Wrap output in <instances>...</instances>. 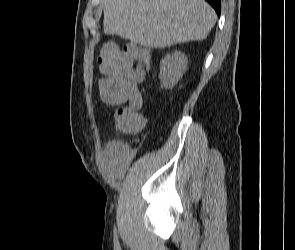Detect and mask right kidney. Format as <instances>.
Returning <instances> with one entry per match:
<instances>
[{
    "label": "right kidney",
    "instance_id": "obj_1",
    "mask_svg": "<svg viewBox=\"0 0 295 250\" xmlns=\"http://www.w3.org/2000/svg\"><path fill=\"white\" fill-rule=\"evenodd\" d=\"M188 65L187 57L180 51H175L172 54H167L160 65L159 79L165 89L173 88Z\"/></svg>",
    "mask_w": 295,
    "mask_h": 250
}]
</instances>
